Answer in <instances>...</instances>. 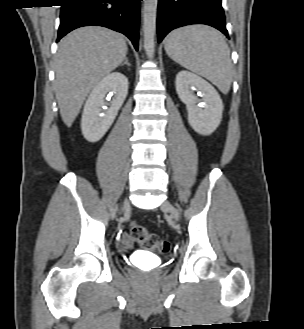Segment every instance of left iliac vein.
I'll use <instances>...</instances> for the list:
<instances>
[{
	"mask_svg": "<svg viewBox=\"0 0 304 329\" xmlns=\"http://www.w3.org/2000/svg\"><path fill=\"white\" fill-rule=\"evenodd\" d=\"M161 210L166 212V213H169L175 220L179 219L178 210L169 201H165L161 205Z\"/></svg>",
	"mask_w": 304,
	"mask_h": 329,
	"instance_id": "obj_1",
	"label": "left iliac vein"
}]
</instances>
